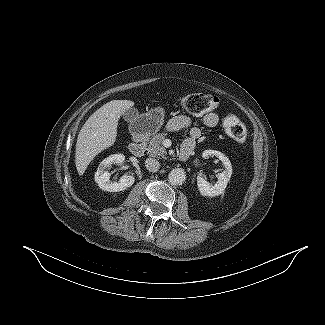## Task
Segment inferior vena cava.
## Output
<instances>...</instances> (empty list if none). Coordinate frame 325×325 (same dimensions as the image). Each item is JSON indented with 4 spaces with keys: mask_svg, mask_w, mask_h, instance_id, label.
<instances>
[{
    "mask_svg": "<svg viewBox=\"0 0 325 325\" xmlns=\"http://www.w3.org/2000/svg\"><path fill=\"white\" fill-rule=\"evenodd\" d=\"M145 166L150 172H157L160 168V163L154 158H147L145 160Z\"/></svg>",
    "mask_w": 325,
    "mask_h": 325,
    "instance_id": "obj_1",
    "label": "inferior vena cava"
}]
</instances>
